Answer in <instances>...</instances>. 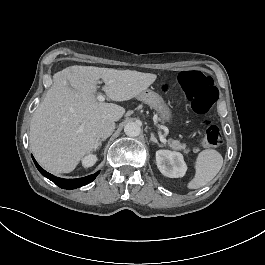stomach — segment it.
Masks as SVG:
<instances>
[{
    "label": "stomach",
    "instance_id": "obj_1",
    "mask_svg": "<svg viewBox=\"0 0 265 265\" xmlns=\"http://www.w3.org/2000/svg\"><path fill=\"white\" fill-rule=\"evenodd\" d=\"M137 99L155 109L160 114L162 120H170L171 111L163 101L162 97L156 92L150 89H145L137 95Z\"/></svg>",
    "mask_w": 265,
    "mask_h": 265
}]
</instances>
